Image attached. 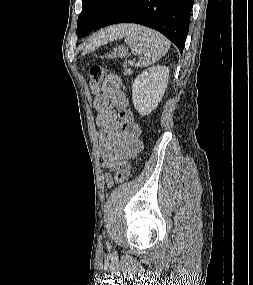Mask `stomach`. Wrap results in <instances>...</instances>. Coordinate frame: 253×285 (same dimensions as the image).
Listing matches in <instances>:
<instances>
[{"instance_id":"1","label":"stomach","mask_w":253,"mask_h":285,"mask_svg":"<svg viewBox=\"0 0 253 285\" xmlns=\"http://www.w3.org/2000/svg\"><path fill=\"white\" fill-rule=\"evenodd\" d=\"M128 55V49H126L124 46H119L118 48H115L113 53L108 54L107 57L109 59L113 58H124Z\"/></svg>"}]
</instances>
